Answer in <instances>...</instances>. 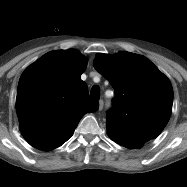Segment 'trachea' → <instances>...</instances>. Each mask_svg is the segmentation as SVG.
I'll return each instance as SVG.
<instances>
[{
	"label": "trachea",
	"instance_id": "1",
	"mask_svg": "<svg viewBox=\"0 0 187 187\" xmlns=\"http://www.w3.org/2000/svg\"><path fill=\"white\" fill-rule=\"evenodd\" d=\"M100 98V88L94 85L90 91V99L98 100Z\"/></svg>",
	"mask_w": 187,
	"mask_h": 187
}]
</instances>
